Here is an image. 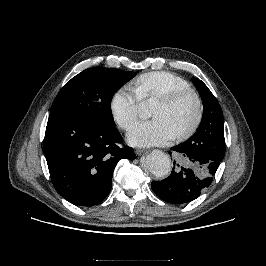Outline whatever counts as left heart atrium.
I'll return each instance as SVG.
<instances>
[{
	"mask_svg": "<svg viewBox=\"0 0 266 266\" xmlns=\"http://www.w3.org/2000/svg\"><path fill=\"white\" fill-rule=\"evenodd\" d=\"M176 136L171 125L163 118L135 123L128 131V141L135 146L165 144Z\"/></svg>",
	"mask_w": 266,
	"mask_h": 266,
	"instance_id": "left-heart-atrium-1",
	"label": "left heart atrium"
}]
</instances>
